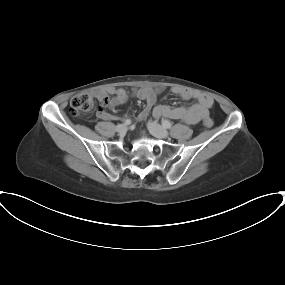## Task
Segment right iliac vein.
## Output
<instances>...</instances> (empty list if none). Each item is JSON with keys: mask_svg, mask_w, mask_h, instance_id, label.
<instances>
[{"mask_svg": "<svg viewBox=\"0 0 285 285\" xmlns=\"http://www.w3.org/2000/svg\"><path fill=\"white\" fill-rule=\"evenodd\" d=\"M116 131L120 134H124L127 131V126L125 124H120L116 126Z\"/></svg>", "mask_w": 285, "mask_h": 285, "instance_id": "1", "label": "right iliac vein"}]
</instances>
